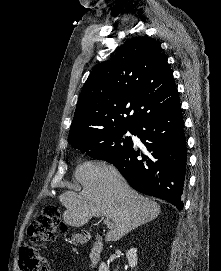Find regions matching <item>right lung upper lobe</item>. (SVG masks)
Segmentation results:
<instances>
[{
	"instance_id": "right-lung-upper-lobe-1",
	"label": "right lung upper lobe",
	"mask_w": 221,
	"mask_h": 271,
	"mask_svg": "<svg viewBox=\"0 0 221 271\" xmlns=\"http://www.w3.org/2000/svg\"><path fill=\"white\" fill-rule=\"evenodd\" d=\"M167 57L148 37L127 40L110 62L95 66L85 82L68 142L143 119L179 104Z\"/></svg>"
}]
</instances>
